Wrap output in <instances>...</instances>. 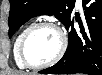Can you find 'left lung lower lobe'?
Here are the masks:
<instances>
[{
	"label": "left lung lower lobe",
	"instance_id": "0a47b994",
	"mask_svg": "<svg viewBox=\"0 0 102 75\" xmlns=\"http://www.w3.org/2000/svg\"><path fill=\"white\" fill-rule=\"evenodd\" d=\"M85 24L74 15L65 24L69 43L62 59L54 66L40 71L46 74L102 75V1L83 0ZM90 3V6L86 5ZM79 22L80 32L73 27Z\"/></svg>",
	"mask_w": 102,
	"mask_h": 75
}]
</instances>
